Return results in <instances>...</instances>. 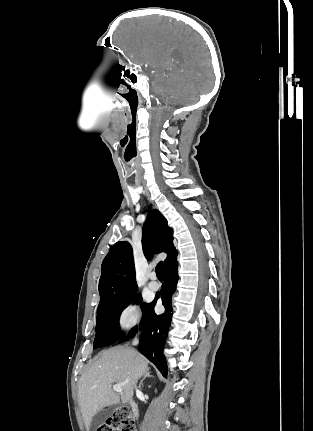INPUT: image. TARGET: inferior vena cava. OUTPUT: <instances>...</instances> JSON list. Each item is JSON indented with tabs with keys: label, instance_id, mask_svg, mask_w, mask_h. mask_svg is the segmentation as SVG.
Returning <instances> with one entry per match:
<instances>
[{
	"label": "inferior vena cava",
	"instance_id": "inferior-vena-cava-1",
	"mask_svg": "<svg viewBox=\"0 0 313 431\" xmlns=\"http://www.w3.org/2000/svg\"><path fill=\"white\" fill-rule=\"evenodd\" d=\"M133 345H137L138 344V339L137 338H135L134 340H133V343H132ZM135 388H136V385H135Z\"/></svg>",
	"mask_w": 313,
	"mask_h": 431
}]
</instances>
